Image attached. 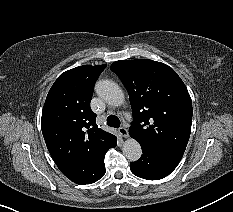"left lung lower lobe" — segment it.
Returning a JSON list of instances; mask_svg holds the SVG:
<instances>
[{"mask_svg":"<svg viewBox=\"0 0 233 212\" xmlns=\"http://www.w3.org/2000/svg\"><path fill=\"white\" fill-rule=\"evenodd\" d=\"M141 145V144H140ZM141 158L130 163L131 172L143 179L159 180L169 175L182 157L172 156L149 146L141 145Z\"/></svg>","mask_w":233,"mask_h":212,"instance_id":"1","label":"left lung lower lobe"}]
</instances>
